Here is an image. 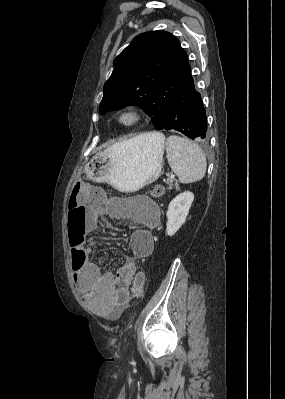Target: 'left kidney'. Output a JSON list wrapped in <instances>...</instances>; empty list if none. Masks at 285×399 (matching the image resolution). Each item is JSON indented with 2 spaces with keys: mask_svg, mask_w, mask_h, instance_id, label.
Masks as SVG:
<instances>
[{
  "mask_svg": "<svg viewBox=\"0 0 285 399\" xmlns=\"http://www.w3.org/2000/svg\"><path fill=\"white\" fill-rule=\"evenodd\" d=\"M193 200L194 194L189 191H185L177 195L169 203L168 211L166 214V233L168 236H173L185 223Z\"/></svg>",
  "mask_w": 285,
  "mask_h": 399,
  "instance_id": "5707ae66",
  "label": "left kidney"
}]
</instances>
